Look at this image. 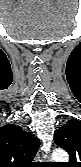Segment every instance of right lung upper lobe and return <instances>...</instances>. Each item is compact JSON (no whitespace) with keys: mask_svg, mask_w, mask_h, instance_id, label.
I'll use <instances>...</instances> for the list:
<instances>
[{"mask_svg":"<svg viewBox=\"0 0 81 167\" xmlns=\"http://www.w3.org/2000/svg\"><path fill=\"white\" fill-rule=\"evenodd\" d=\"M40 145L33 133L7 124L0 128V167H34Z\"/></svg>","mask_w":81,"mask_h":167,"instance_id":"obj_1","label":"right lung upper lobe"}]
</instances>
